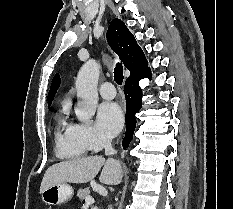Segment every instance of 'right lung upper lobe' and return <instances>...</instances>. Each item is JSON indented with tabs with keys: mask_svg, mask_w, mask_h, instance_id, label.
Instances as JSON below:
<instances>
[{
	"mask_svg": "<svg viewBox=\"0 0 233 209\" xmlns=\"http://www.w3.org/2000/svg\"><path fill=\"white\" fill-rule=\"evenodd\" d=\"M107 41L112 50L118 54L124 66L130 71V76L127 79L136 77L149 69L142 49L137 44L135 37L120 19H113L111 21L107 31ZM59 86L60 76L56 74L48 93L47 100L49 106Z\"/></svg>",
	"mask_w": 233,
	"mask_h": 209,
	"instance_id": "cb5924a9",
	"label": "right lung upper lobe"
}]
</instances>
